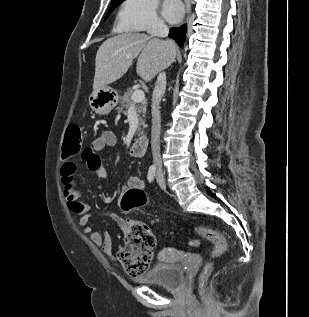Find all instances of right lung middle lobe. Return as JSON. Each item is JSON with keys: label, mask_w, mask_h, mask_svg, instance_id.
<instances>
[{"label": "right lung middle lobe", "mask_w": 309, "mask_h": 317, "mask_svg": "<svg viewBox=\"0 0 309 317\" xmlns=\"http://www.w3.org/2000/svg\"><path fill=\"white\" fill-rule=\"evenodd\" d=\"M124 0H112L111 4H110V9L109 12L107 14V17L109 16V14L111 13V11L116 8L121 2H123ZM106 17V18H107Z\"/></svg>", "instance_id": "obj_1"}]
</instances>
